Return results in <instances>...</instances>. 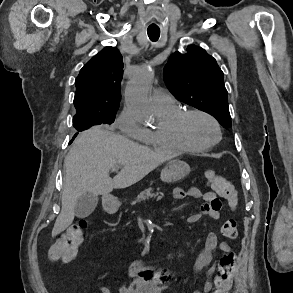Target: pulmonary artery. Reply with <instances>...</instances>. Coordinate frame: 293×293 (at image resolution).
Listing matches in <instances>:
<instances>
[{"label":"pulmonary artery","instance_id":"pulmonary-artery-1","mask_svg":"<svg viewBox=\"0 0 293 293\" xmlns=\"http://www.w3.org/2000/svg\"><path fill=\"white\" fill-rule=\"evenodd\" d=\"M152 97L157 108H167L176 104L173 95L162 89H155Z\"/></svg>","mask_w":293,"mask_h":293}]
</instances>
